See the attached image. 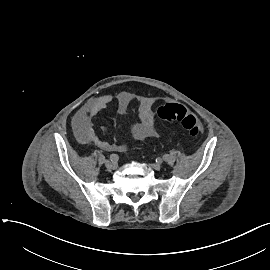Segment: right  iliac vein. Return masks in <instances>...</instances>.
<instances>
[{
    "instance_id": "obj_1",
    "label": "right iliac vein",
    "mask_w": 270,
    "mask_h": 270,
    "mask_svg": "<svg viewBox=\"0 0 270 270\" xmlns=\"http://www.w3.org/2000/svg\"><path fill=\"white\" fill-rule=\"evenodd\" d=\"M105 166H106V168H107L108 171H112V170H114L116 168L117 165L114 162H111L109 160H106L105 161Z\"/></svg>"
}]
</instances>
